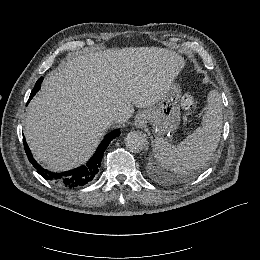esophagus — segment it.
Segmentation results:
<instances>
[{"instance_id":"obj_1","label":"esophagus","mask_w":260,"mask_h":260,"mask_svg":"<svg viewBox=\"0 0 260 260\" xmlns=\"http://www.w3.org/2000/svg\"><path fill=\"white\" fill-rule=\"evenodd\" d=\"M139 121H140V119L138 118L136 122H139Z\"/></svg>"}]
</instances>
